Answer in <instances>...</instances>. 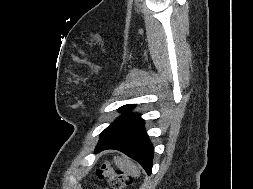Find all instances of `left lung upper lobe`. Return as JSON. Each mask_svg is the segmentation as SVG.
<instances>
[{"mask_svg":"<svg viewBox=\"0 0 253 189\" xmlns=\"http://www.w3.org/2000/svg\"><path fill=\"white\" fill-rule=\"evenodd\" d=\"M134 105L130 104V105H125V106H122L121 108H119V111H123V112H127V111H130L132 109ZM138 115L136 114H125V115H122L120 116L119 118H117V120L112 123L110 126H108L102 133L101 135L103 134H106L112 130H114L115 128L131 121L132 119H134L135 117H137Z\"/></svg>","mask_w":253,"mask_h":189,"instance_id":"5c2ea615","label":"left lung upper lobe"}]
</instances>
